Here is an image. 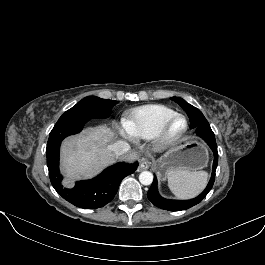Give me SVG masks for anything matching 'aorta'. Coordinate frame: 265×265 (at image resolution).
Segmentation results:
<instances>
[{
  "label": "aorta",
  "mask_w": 265,
  "mask_h": 265,
  "mask_svg": "<svg viewBox=\"0 0 265 265\" xmlns=\"http://www.w3.org/2000/svg\"><path fill=\"white\" fill-rule=\"evenodd\" d=\"M139 181L143 185H150L153 182V174L149 171H143L139 175Z\"/></svg>",
  "instance_id": "aorta-1"
}]
</instances>
